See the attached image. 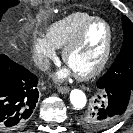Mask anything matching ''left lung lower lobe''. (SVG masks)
I'll return each mask as SVG.
<instances>
[{
	"instance_id": "1",
	"label": "left lung lower lobe",
	"mask_w": 133,
	"mask_h": 133,
	"mask_svg": "<svg viewBox=\"0 0 133 133\" xmlns=\"http://www.w3.org/2000/svg\"><path fill=\"white\" fill-rule=\"evenodd\" d=\"M102 89L105 99L102 101V104L96 108L94 119L98 122L109 120L110 127L119 121L127 111L133 90L118 85H109ZM99 131H97V133H99Z\"/></svg>"
}]
</instances>
